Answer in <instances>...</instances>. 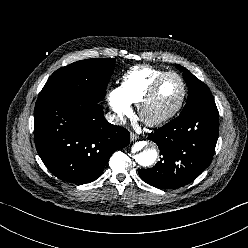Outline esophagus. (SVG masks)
Returning a JSON list of instances; mask_svg holds the SVG:
<instances>
[{
	"instance_id": "1",
	"label": "esophagus",
	"mask_w": 248,
	"mask_h": 248,
	"mask_svg": "<svg viewBox=\"0 0 248 248\" xmlns=\"http://www.w3.org/2000/svg\"><path fill=\"white\" fill-rule=\"evenodd\" d=\"M138 139H139V136L136 135L135 133H131V134H130V140H131V141H136V140H138Z\"/></svg>"
}]
</instances>
